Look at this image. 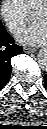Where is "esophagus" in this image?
Here are the masks:
<instances>
[{"label":"esophagus","instance_id":"1","mask_svg":"<svg viewBox=\"0 0 47 129\" xmlns=\"http://www.w3.org/2000/svg\"><path fill=\"white\" fill-rule=\"evenodd\" d=\"M23 51L25 53H34L36 50L34 48L24 47Z\"/></svg>","mask_w":47,"mask_h":129}]
</instances>
